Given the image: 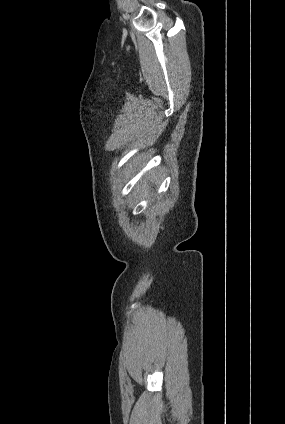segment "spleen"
<instances>
[{
	"instance_id": "obj_1",
	"label": "spleen",
	"mask_w": 285,
	"mask_h": 424,
	"mask_svg": "<svg viewBox=\"0 0 285 424\" xmlns=\"http://www.w3.org/2000/svg\"><path fill=\"white\" fill-rule=\"evenodd\" d=\"M150 177L151 180L154 181L156 184L160 183V177L155 172H152Z\"/></svg>"
}]
</instances>
